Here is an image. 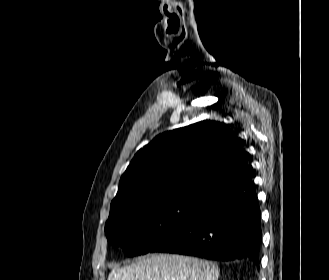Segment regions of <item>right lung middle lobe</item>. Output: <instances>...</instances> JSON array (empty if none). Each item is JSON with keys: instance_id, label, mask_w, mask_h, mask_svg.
I'll use <instances>...</instances> for the list:
<instances>
[{"instance_id": "obj_1", "label": "right lung middle lobe", "mask_w": 329, "mask_h": 280, "mask_svg": "<svg viewBox=\"0 0 329 280\" xmlns=\"http://www.w3.org/2000/svg\"><path fill=\"white\" fill-rule=\"evenodd\" d=\"M200 200L192 196L157 197L111 205L105 225L108 243L120 246L130 257L146 254L171 236Z\"/></svg>"}]
</instances>
